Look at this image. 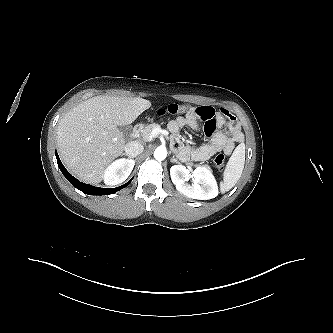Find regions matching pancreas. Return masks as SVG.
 <instances>
[{
  "instance_id": "obj_1",
  "label": "pancreas",
  "mask_w": 333,
  "mask_h": 333,
  "mask_svg": "<svg viewBox=\"0 0 333 333\" xmlns=\"http://www.w3.org/2000/svg\"><path fill=\"white\" fill-rule=\"evenodd\" d=\"M155 128H160V125L156 124V123H152V124H148L144 127H141L139 129L140 136L142 138H144L146 141L151 140L150 134H151L152 130L155 129Z\"/></svg>"
}]
</instances>
